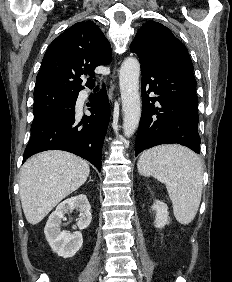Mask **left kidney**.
<instances>
[{"label":"left kidney","mask_w":232,"mask_h":282,"mask_svg":"<svg viewBox=\"0 0 232 282\" xmlns=\"http://www.w3.org/2000/svg\"><path fill=\"white\" fill-rule=\"evenodd\" d=\"M152 209L156 211L155 227L163 228L169 223V212L167 205L162 201H155Z\"/></svg>","instance_id":"1"}]
</instances>
